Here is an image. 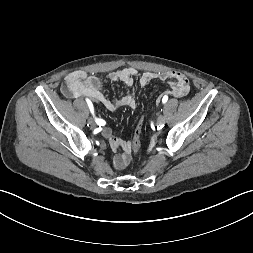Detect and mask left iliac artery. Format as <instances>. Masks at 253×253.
Here are the masks:
<instances>
[{
  "instance_id": "left-iliac-artery-1",
  "label": "left iliac artery",
  "mask_w": 253,
  "mask_h": 253,
  "mask_svg": "<svg viewBox=\"0 0 253 253\" xmlns=\"http://www.w3.org/2000/svg\"><path fill=\"white\" fill-rule=\"evenodd\" d=\"M167 100H168V97L165 96V97L163 98V103H165Z\"/></svg>"
}]
</instances>
